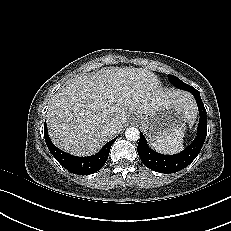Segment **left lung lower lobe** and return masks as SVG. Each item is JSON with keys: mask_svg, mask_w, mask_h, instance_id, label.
<instances>
[{"mask_svg": "<svg viewBox=\"0 0 231 231\" xmlns=\"http://www.w3.org/2000/svg\"><path fill=\"white\" fill-rule=\"evenodd\" d=\"M189 92L194 95L200 114L197 137L182 152L175 155H163L149 148L146 139L140 133L137 151L141 161L149 169L159 173H175L190 165L199 154L207 135L206 110L199 91L192 87Z\"/></svg>", "mask_w": 231, "mask_h": 231, "instance_id": "left-lung-lower-lobe-1", "label": "left lung lower lobe"}]
</instances>
